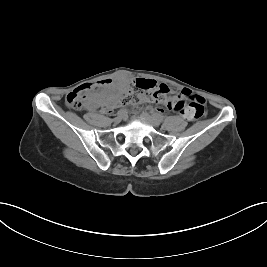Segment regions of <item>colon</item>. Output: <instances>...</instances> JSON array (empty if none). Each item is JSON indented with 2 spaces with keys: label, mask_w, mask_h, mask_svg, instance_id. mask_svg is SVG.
<instances>
[{
  "label": "colon",
  "mask_w": 267,
  "mask_h": 267,
  "mask_svg": "<svg viewBox=\"0 0 267 267\" xmlns=\"http://www.w3.org/2000/svg\"><path fill=\"white\" fill-rule=\"evenodd\" d=\"M84 86L78 87L66 96L67 105L75 110H81L86 106V95ZM183 100L175 106V111L188 119H198L206 113L205 99L193 94L190 90L184 89L181 92ZM171 96L169 89L164 84H157L149 79H136L129 89L123 94L121 100L117 97L113 100L123 104H135L141 101H152L158 104H169ZM187 102V105H185Z\"/></svg>",
  "instance_id": "5ec220e1"
}]
</instances>
